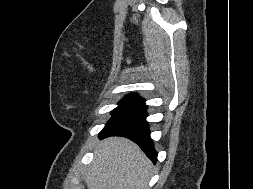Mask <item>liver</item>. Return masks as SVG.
Here are the masks:
<instances>
[{"label":"liver","instance_id":"obj_1","mask_svg":"<svg viewBox=\"0 0 253 189\" xmlns=\"http://www.w3.org/2000/svg\"><path fill=\"white\" fill-rule=\"evenodd\" d=\"M152 163L131 140H102L85 182L88 189H147Z\"/></svg>","mask_w":253,"mask_h":189}]
</instances>
